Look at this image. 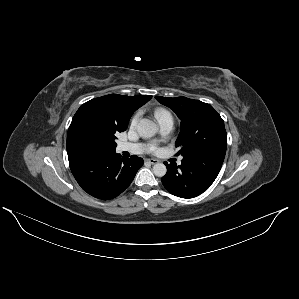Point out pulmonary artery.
I'll return each mask as SVG.
<instances>
[{"instance_id":"e3ab8cb5","label":"pulmonary artery","mask_w":299,"mask_h":299,"mask_svg":"<svg viewBox=\"0 0 299 299\" xmlns=\"http://www.w3.org/2000/svg\"><path fill=\"white\" fill-rule=\"evenodd\" d=\"M173 120L171 118L163 119L159 122V130L161 135L167 136L173 129ZM119 152H130L134 154H141L150 151V146L143 143H120L117 147ZM181 164V161L178 162Z\"/></svg>"}]
</instances>
